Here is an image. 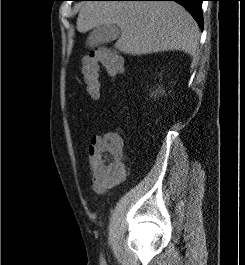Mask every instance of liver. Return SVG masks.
Masks as SVG:
<instances>
[{
	"instance_id": "liver-1",
	"label": "liver",
	"mask_w": 245,
	"mask_h": 265,
	"mask_svg": "<svg viewBox=\"0 0 245 265\" xmlns=\"http://www.w3.org/2000/svg\"><path fill=\"white\" fill-rule=\"evenodd\" d=\"M117 25L119 51L144 55L179 50L195 56L200 32L190 13L172 1H87L81 4L77 30Z\"/></svg>"
}]
</instances>
